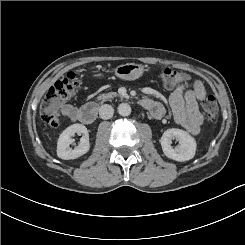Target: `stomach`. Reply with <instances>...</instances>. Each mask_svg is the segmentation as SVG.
<instances>
[{
  "mask_svg": "<svg viewBox=\"0 0 245 245\" xmlns=\"http://www.w3.org/2000/svg\"><path fill=\"white\" fill-rule=\"evenodd\" d=\"M145 67L141 64L126 63L115 68V75L124 80H135L143 75Z\"/></svg>",
  "mask_w": 245,
  "mask_h": 245,
  "instance_id": "0dacf381",
  "label": "stomach"
}]
</instances>
